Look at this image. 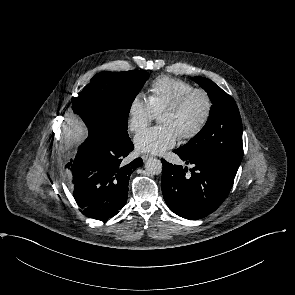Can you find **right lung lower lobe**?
Here are the masks:
<instances>
[{
  "mask_svg": "<svg viewBox=\"0 0 295 295\" xmlns=\"http://www.w3.org/2000/svg\"><path fill=\"white\" fill-rule=\"evenodd\" d=\"M88 131L87 139L65 168L80 212L105 221L125 206L130 175L143 165V160L122 163L134 149L129 137L119 141L93 128Z\"/></svg>",
  "mask_w": 295,
  "mask_h": 295,
  "instance_id": "right-lung-lower-lobe-1",
  "label": "right lung lower lobe"
}]
</instances>
